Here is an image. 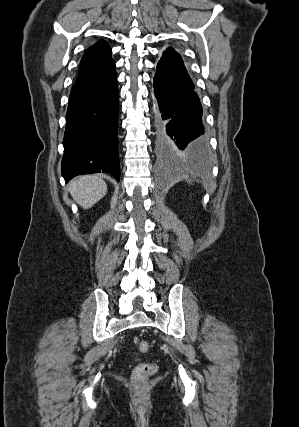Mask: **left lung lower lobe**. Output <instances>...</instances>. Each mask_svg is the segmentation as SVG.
<instances>
[{
    "mask_svg": "<svg viewBox=\"0 0 299 427\" xmlns=\"http://www.w3.org/2000/svg\"><path fill=\"white\" fill-rule=\"evenodd\" d=\"M181 56L169 47L154 77L157 151L165 162L187 159L193 168L210 167L202 106Z\"/></svg>",
    "mask_w": 299,
    "mask_h": 427,
    "instance_id": "1",
    "label": "left lung lower lobe"
}]
</instances>
